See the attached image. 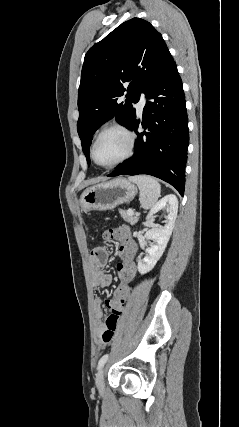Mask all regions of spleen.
Wrapping results in <instances>:
<instances>
[{
  "label": "spleen",
  "mask_w": 239,
  "mask_h": 427,
  "mask_svg": "<svg viewBox=\"0 0 239 427\" xmlns=\"http://www.w3.org/2000/svg\"><path fill=\"white\" fill-rule=\"evenodd\" d=\"M129 180L136 183L139 187L141 207L144 209L152 208L160 197L161 186L158 181L147 175L131 176Z\"/></svg>",
  "instance_id": "3e777b00"
}]
</instances>
